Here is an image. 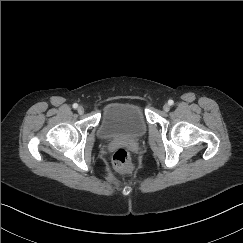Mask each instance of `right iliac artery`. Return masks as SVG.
I'll use <instances>...</instances> for the list:
<instances>
[{"mask_svg": "<svg viewBox=\"0 0 243 243\" xmlns=\"http://www.w3.org/2000/svg\"><path fill=\"white\" fill-rule=\"evenodd\" d=\"M77 107H78V104H77V103H74V104H73V108L76 109Z\"/></svg>", "mask_w": 243, "mask_h": 243, "instance_id": "obj_1", "label": "right iliac artery"}]
</instances>
